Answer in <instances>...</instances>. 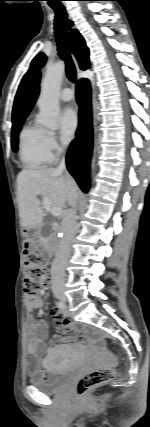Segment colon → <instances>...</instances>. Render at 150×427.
Returning <instances> with one entry per match:
<instances>
[{
	"label": "colon",
	"instance_id": "colon-1",
	"mask_svg": "<svg viewBox=\"0 0 150 427\" xmlns=\"http://www.w3.org/2000/svg\"><path fill=\"white\" fill-rule=\"evenodd\" d=\"M25 271V291L28 295L35 296L49 285L50 270L30 242L25 243ZM114 376L115 371L112 368L91 371L77 382L76 392L79 396H85L92 389L112 380Z\"/></svg>",
	"mask_w": 150,
	"mask_h": 427
}]
</instances>
